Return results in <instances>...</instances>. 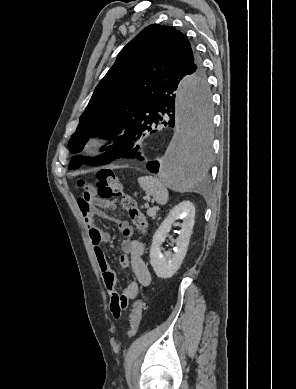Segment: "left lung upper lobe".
<instances>
[{
    "label": "left lung upper lobe",
    "mask_w": 296,
    "mask_h": 389,
    "mask_svg": "<svg viewBox=\"0 0 296 389\" xmlns=\"http://www.w3.org/2000/svg\"><path fill=\"white\" fill-rule=\"evenodd\" d=\"M176 75L204 78L198 55L187 37L175 28L147 26L121 50L95 88L69 141L71 152H80L91 136L101 135L113 142L135 117L146 119L157 91ZM104 150L103 147L101 151ZM82 164L101 165V156L73 157L68 168H79Z\"/></svg>",
    "instance_id": "1"
}]
</instances>
